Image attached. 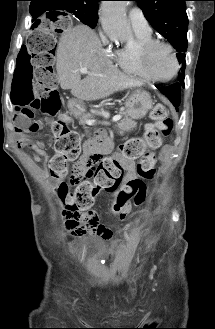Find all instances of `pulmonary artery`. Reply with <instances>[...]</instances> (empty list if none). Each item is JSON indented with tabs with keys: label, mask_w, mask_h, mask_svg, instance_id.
<instances>
[{
	"label": "pulmonary artery",
	"mask_w": 215,
	"mask_h": 329,
	"mask_svg": "<svg viewBox=\"0 0 215 329\" xmlns=\"http://www.w3.org/2000/svg\"><path fill=\"white\" fill-rule=\"evenodd\" d=\"M129 20L135 32L148 34L151 33V28L142 10L138 7H133L129 11Z\"/></svg>",
	"instance_id": "obj_1"
}]
</instances>
